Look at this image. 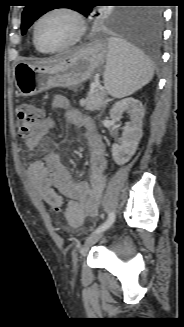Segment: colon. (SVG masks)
Returning a JSON list of instances; mask_svg holds the SVG:
<instances>
[{
  "label": "colon",
  "mask_w": 184,
  "mask_h": 327,
  "mask_svg": "<svg viewBox=\"0 0 184 327\" xmlns=\"http://www.w3.org/2000/svg\"><path fill=\"white\" fill-rule=\"evenodd\" d=\"M43 110L32 102H25L19 105L17 109V122L19 135L23 138H29L36 131L43 120ZM54 212L61 211L59 208H52ZM97 207L88 211V216L94 218L97 216Z\"/></svg>",
  "instance_id": "obj_1"
}]
</instances>
